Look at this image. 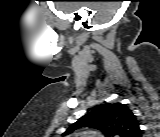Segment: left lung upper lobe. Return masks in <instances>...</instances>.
<instances>
[{
  "instance_id": "5c2ea615",
  "label": "left lung upper lobe",
  "mask_w": 160,
  "mask_h": 137,
  "mask_svg": "<svg viewBox=\"0 0 160 137\" xmlns=\"http://www.w3.org/2000/svg\"><path fill=\"white\" fill-rule=\"evenodd\" d=\"M85 126L101 130L107 136L131 137L139 124L136 116L126 105L105 103L78 119L66 130L64 135Z\"/></svg>"
}]
</instances>
